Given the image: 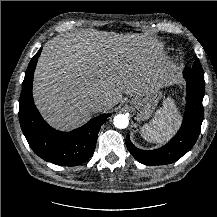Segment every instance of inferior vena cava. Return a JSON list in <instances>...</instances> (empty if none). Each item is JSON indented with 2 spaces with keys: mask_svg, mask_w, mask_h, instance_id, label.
<instances>
[{
  "mask_svg": "<svg viewBox=\"0 0 217 217\" xmlns=\"http://www.w3.org/2000/svg\"><path fill=\"white\" fill-rule=\"evenodd\" d=\"M108 100H94L89 104V109L93 113H98L104 110Z\"/></svg>",
  "mask_w": 217,
  "mask_h": 217,
  "instance_id": "obj_1",
  "label": "inferior vena cava"
}]
</instances>
